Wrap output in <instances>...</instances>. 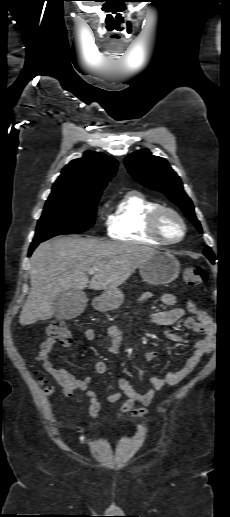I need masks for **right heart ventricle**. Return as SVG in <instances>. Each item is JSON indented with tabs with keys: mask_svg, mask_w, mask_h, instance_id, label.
Returning a JSON list of instances; mask_svg holds the SVG:
<instances>
[{
	"mask_svg": "<svg viewBox=\"0 0 230 517\" xmlns=\"http://www.w3.org/2000/svg\"><path fill=\"white\" fill-rule=\"evenodd\" d=\"M160 203L138 191H128L118 201L111 215L108 234L118 241L162 244L148 230V218Z\"/></svg>",
	"mask_w": 230,
	"mask_h": 517,
	"instance_id": "1",
	"label": "right heart ventricle"
}]
</instances>
